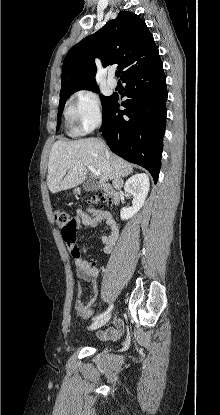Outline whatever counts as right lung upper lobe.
<instances>
[{"mask_svg": "<svg viewBox=\"0 0 220 415\" xmlns=\"http://www.w3.org/2000/svg\"><path fill=\"white\" fill-rule=\"evenodd\" d=\"M98 57L103 66L117 63L121 79L160 60L159 51L145 22L136 14L121 11L118 17L84 38L67 53L60 94L80 86L96 85Z\"/></svg>", "mask_w": 220, "mask_h": 415, "instance_id": "cb5924a9", "label": "right lung upper lobe"}]
</instances>
